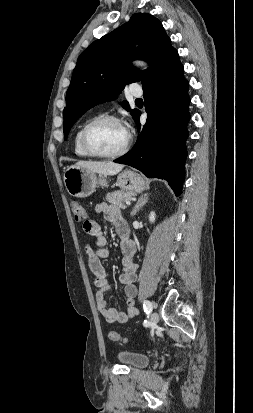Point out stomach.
<instances>
[{
  "label": "stomach",
  "mask_w": 253,
  "mask_h": 413,
  "mask_svg": "<svg viewBox=\"0 0 253 413\" xmlns=\"http://www.w3.org/2000/svg\"><path fill=\"white\" fill-rule=\"evenodd\" d=\"M64 185L71 196L85 198L93 194L98 185L106 187L107 176H97L94 172L72 165L64 172ZM117 186L132 193H140L146 187L144 179L131 170H124L118 174Z\"/></svg>",
  "instance_id": "obj_1"
}]
</instances>
